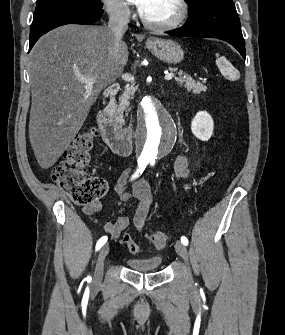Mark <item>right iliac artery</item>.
I'll list each match as a JSON object with an SVG mask.
<instances>
[{"mask_svg": "<svg viewBox=\"0 0 285 335\" xmlns=\"http://www.w3.org/2000/svg\"><path fill=\"white\" fill-rule=\"evenodd\" d=\"M147 164H148V162L138 163V169H137L136 173L132 176V178L134 179V178L138 177L139 174H142L143 171L145 170ZM106 241H107V236L101 237L96 244V250H99L106 243ZM87 280H91V277L88 276Z\"/></svg>", "mask_w": 285, "mask_h": 335, "instance_id": "right-iliac-artery-1", "label": "right iliac artery"}]
</instances>
